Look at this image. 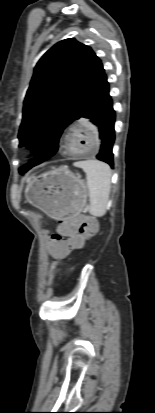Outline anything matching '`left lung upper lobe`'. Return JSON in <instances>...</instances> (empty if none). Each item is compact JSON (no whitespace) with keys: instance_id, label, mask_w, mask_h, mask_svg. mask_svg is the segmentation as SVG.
I'll list each match as a JSON object with an SVG mask.
<instances>
[{"instance_id":"1","label":"left lung upper lobe","mask_w":155,"mask_h":413,"mask_svg":"<svg viewBox=\"0 0 155 413\" xmlns=\"http://www.w3.org/2000/svg\"><path fill=\"white\" fill-rule=\"evenodd\" d=\"M104 72L92 49L74 38L50 48L37 63L27 91L19 147L40 152L19 169L25 173L58 150L62 131L79 119L81 106ZM56 141V142H55Z\"/></svg>"}]
</instances>
